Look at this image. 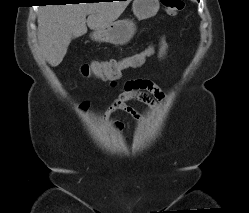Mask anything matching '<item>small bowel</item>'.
Wrapping results in <instances>:
<instances>
[{"mask_svg":"<svg viewBox=\"0 0 249 213\" xmlns=\"http://www.w3.org/2000/svg\"><path fill=\"white\" fill-rule=\"evenodd\" d=\"M168 44L162 39L159 43L157 56L163 65H167L166 56H167ZM153 53V52H152ZM133 55L127 56L123 59L131 60ZM144 59H141L138 62L132 63L129 67H138L143 62ZM120 76V75H119ZM112 78L111 83L116 84L117 79ZM164 92L152 81L144 79H133L127 81L123 85L122 92L118 97L108 106L105 111V117H109L113 112L120 110L128 114L134 121L137 123L142 122L141 114L129 104L130 101H137L146 105L149 109L156 111L158 109V102H163L165 100ZM87 108L86 104H83L81 109L85 110ZM123 123L121 121H116L114 124L115 129L120 130L123 128Z\"/></svg>","mask_w":249,"mask_h":213,"instance_id":"small-bowel-1","label":"small bowel"}]
</instances>
